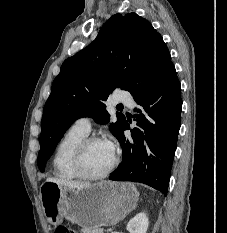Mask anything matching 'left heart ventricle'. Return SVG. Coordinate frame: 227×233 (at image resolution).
<instances>
[{
	"mask_svg": "<svg viewBox=\"0 0 227 233\" xmlns=\"http://www.w3.org/2000/svg\"><path fill=\"white\" fill-rule=\"evenodd\" d=\"M113 151L105 142H96L91 144L84 157V166L86 170L93 174L102 173L111 164Z\"/></svg>",
	"mask_w": 227,
	"mask_h": 233,
	"instance_id": "1",
	"label": "left heart ventricle"
}]
</instances>
